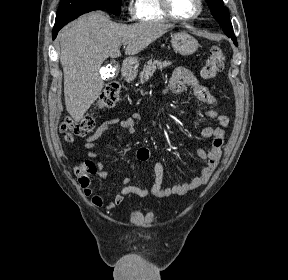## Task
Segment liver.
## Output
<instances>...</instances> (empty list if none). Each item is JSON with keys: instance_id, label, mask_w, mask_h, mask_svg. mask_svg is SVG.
<instances>
[{"instance_id": "6515ba94", "label": "liver", "mask_w": 288, "mask_h": 280, "mask_svg": "<svg viewBox=\"0 0 288 280\" xmlns=\"http://www.w3.org/2000/svg\"><path fill=\"white\" fill-rule=\"evenodd\" d=\"M171 25L140 22L126 25L110 20L102 11L83 15L60 34V62L64 72V97L68 113L80 121L99 97L104 81L99 70L108 58L136 55L164 35Z\"/></svg>"}]
</instances>
